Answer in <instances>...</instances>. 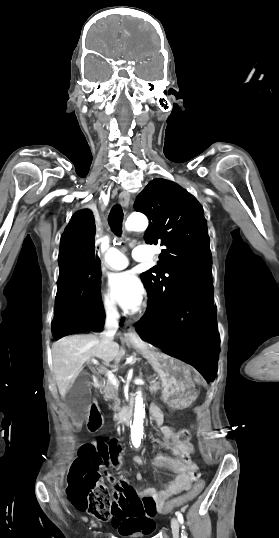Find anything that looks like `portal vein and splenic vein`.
Listing matches in <instances>:
<instances>
[{
	"label": "portal vein and splenic vein",
	"instance_id": "18ae733b",
	"mask_svg": "<svg viewBox=\"0 0 279 538\" xmlns=\"http://www.w3.org/2000/svg\"><path fill=\"white\" fill-rule=\"evenodd\" d=\"M91 363L94 366H97V365L99 366L98 357L96 355H93L91 357ZM103 370H106V368H103ZM107 378H108V380H110V383H112V385L114 387H117L119 385V382L117 381L116 376H114V374H112V372H107ZM146 383H155V380H146Z\"/></svg>",
	"mask_w": 279,
	"mask_h": 538
}]
</instances>
